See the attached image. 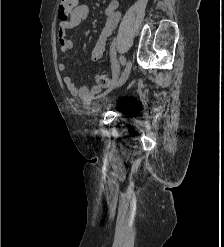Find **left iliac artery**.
<instances>
[{
  "instance_id": "obj_1",
  "label": "left iliac artery",
  "mask_w": 224,
  "mask_h": 247,
  "mask_svg": "<svg viewBox=\"0 0 224 247\" xmlns=\"http://www.w3.org/2000/svg\"><path fill=\"white\" fill-rule=\"evenodd\" d=\"M120 62L123 66L126 64V59L124 56H120Z\"/></svg>"
}]
</instances>
